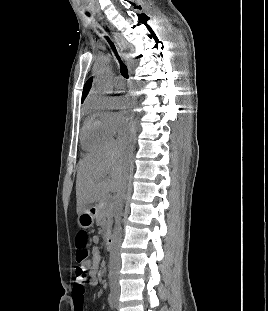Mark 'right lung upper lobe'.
I'll list each match as a JSON object with an SVG mask.
<instances>
[{
  "instance_id": "1",
  "label": "right lung upper lobe",
  "mask_w": 268,
  "mask_h": 311,
  "mask_svg": "<svg viewBox=\"0 0 268 311\" xmlns=\"http://www.w3.org/2000/svg\"><path fill=\"white\" fill-rule=\"evenodd\" d=\"M91 84H92V78H90L84 85L83 94H82V102L86 98V96L90 90Z\"/></svg>"
}]
</instances>
